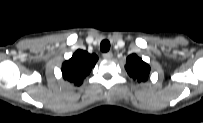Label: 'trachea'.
I'll use <instances>...</instances> for the list:
<instances>
[{
  "label": "trachea",
  "mask_w": 203,
  "mask_h": 123,
  "mask_svg": "<svg viewBox=\"0 0 203 123\" xmlns=\"http://www.w3.org/2000/svg\"><path fill=\"white\" fill-rule=\"evenodd\" d=\"M110 49V42L108 40H103L100 44V50L102 52H108Z\"/></svg>",
  "instance_id": "3493384b"
}]
</instances>
